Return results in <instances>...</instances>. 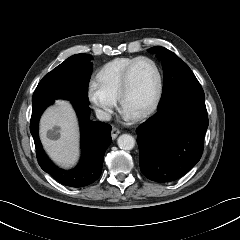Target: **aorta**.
I'll list each match as a JSON object with an SVG mask.
<instances>
[{"mask_svg":"<svg viewBox=\"0 0 240 240\" xmlns=\"http://www.w3.org/2000/svg\"><path fill=\"white\" fill-rule=\"evenodd\" d=\"M117 144L122 150H131L135 146V139L129 134H122L119 136Z\"/></svg>","mask_w":240,"mask_h":240,"instance_id":"aorta-1","label":"aorta"}]
</instances>
